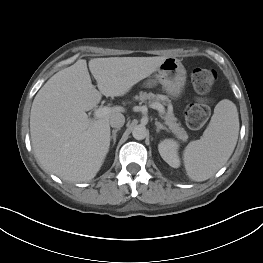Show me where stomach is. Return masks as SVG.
Instances as JSON below:
<instances>
[{
	"instance_id": "stomach-1",
	"label": "stomach",
	"mask_w": 263,
	"mask_h": 263,
	"mask_svg": "<svg viewBox=\"0 0 263 263\" xmlns=\"http://www.w3.org/2000/svg\"><path fill=\"white\" fill-rule=\"evenodd\" d=\"M159 82L165 92L173 97H179L186 83V70L180 60L175 57H167L157 68L153 79H149L146 85L151 87Z\"/></svg>"
}]
</instances>
